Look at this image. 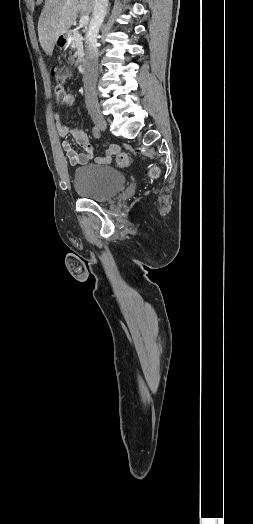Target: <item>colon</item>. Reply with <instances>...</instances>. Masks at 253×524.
<instances>
[{
  "label": "colon",
  "mask_w": 253,
  "mask_h": 524,
  "mask_svg": "<svg viewBox=\"0 0 253 524\" xmlns=\"http://www.w3.org/2000/svg\"><path fill=\"white\" fill-rule=\"evenodd\" d=\"M63 65H53L50 68V74L55 80V89L61 90L63 88V84L68 79V77L71 74V68H73L76 65L77 57L75 53H64L63 57ZM117 164L120 167L128 166L132 163L133 159L131 156L125 152L118 153L116 156ZM159 169L156 166H152L149 169V176L151 178H156L159 176Z\"/></svg>",
  "instance_id": "1"
}]
</instances>
